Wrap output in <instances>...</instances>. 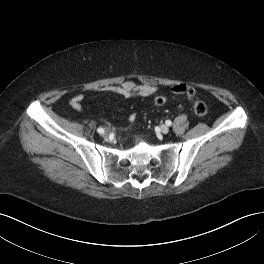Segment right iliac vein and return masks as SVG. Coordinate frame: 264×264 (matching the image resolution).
<instances>
[{"label":"right iliac vein","mask_w":264,"mask_h":264,"mask_svg":"<svg viewBox=\"0 0 264 264\" xmlns=\"http://www.w3.org/2000/svg\"><path fill=\"white\" fill-rule=\"evenodd\" d=\"M103 136L107 137L108 136V132L106 131L105 133H103Z\"/></svg>","instance_id":"1"}]
</instances>
